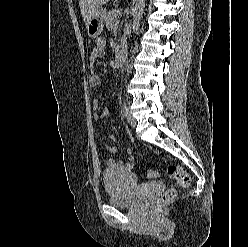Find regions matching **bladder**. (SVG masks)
I'll return each mask as SVG.
<instances>
[{"label":"bladder","mask_w":248,"mask_h":247,"mask_svg":"<svg viewBox=\"0 0 248 247\" xmlns=\"http://www.w3.org/2000/svg\"><path fill=\"white\" fill-rule=\"evenodd\" d=\"M103 183L109 203L114 206L131 207L140 199L135 176L126 168L114 166L106 169L103 172Z\"/></svg>","instance_id":"obj_1"}]
</instances>
